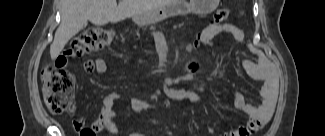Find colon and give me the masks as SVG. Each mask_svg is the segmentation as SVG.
Listing matches in <instances>:
<instances>
[{"label":"colon","instance_id":"obj_1","mask_svg":"<svg viewBox=\"0 0 325 136\" xmlns=\"http://www.w3.org/2000/svg\"><path fill=\"white\" fill-rule=\"evenodd\" d=\"M228 15V9H218L209 25L217 26L224 23ZM113 40L114 32L111 29L93 28L72 40L71 51L74 56L85 57L92 52L109 47ZM196 45L197 42H195ZM42 90L45 104L51 113L61 114L70 108L72 87L66 85L65 80L55 66L48 65L43 68ZM80 136H96V133L91 128H83Z\"/></svg>","mask_w":325,"mask_h":136}]
</instances>
